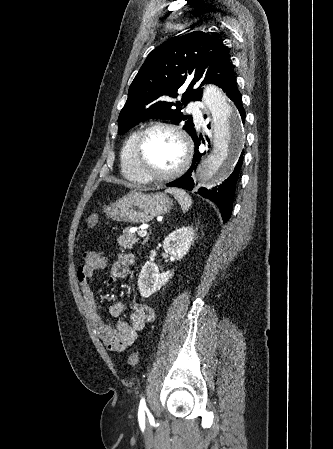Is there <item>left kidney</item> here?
<instances>
[{
	"label": "left kidney",
	"instance_id": "5707ae66",
	"mask_svg": "<svg viewBox=\"0 0 333 449\" xmlns=\"http://www.w3.org/2000/svg\"><path fill=\"white\" fill-rule=\"evenodd\" d=\"M195 239V231L192 227H182L169 234L163 242L166 253L182 259L189 251ZM173 276L172 271L160 273L158 266L153 262H146L139 278L138 287L141 296L149 297L162 288Z\"/></svg>",
	"mask_w": 333,
	"mask_h": 449
}]
</instances>
